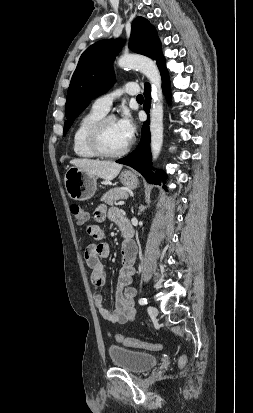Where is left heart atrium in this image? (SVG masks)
<instances>
[{
  "instance_id": "1",
  "label": "left heart atrium",
  "mask_w": 253,
  "mask_h": 413,
  "mask_svg": "<svg viewBox=\"0 0 253 413\" xmlns=\"http://www.w3.org/2000/svg\"><path fill=\"white\" fill-rule=\"evenodd\" d=\"M117 127L124 137V139L129 143L136 132V124L129 113H124L117 121Z\"/></svg>"
}]
</instances>
